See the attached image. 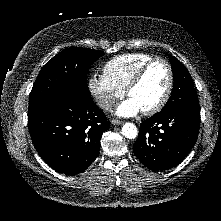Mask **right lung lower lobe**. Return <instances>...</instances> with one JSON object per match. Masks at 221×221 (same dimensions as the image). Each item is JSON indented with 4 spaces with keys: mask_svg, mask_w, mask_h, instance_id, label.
Segmentation results:
<instances>
[{
    "mask_svg": "<svg viewBox=\"0 0 221 221\" xmlns=\"http://www.w3.org/2000/svg\"><path fill=\"white\" fill-rule=\"evenodd\" d=\"M28 127L40 157L57 172L75 175L98 157L110 121L90 96L66 92L28 114Z\"/></svg>",
    "mask_w": 221,
    "mask_h": 221,
    "instance_id": "right-lung-lower-lobe-1",
    "label": "right lung lower lobe"
}]
</instances>
